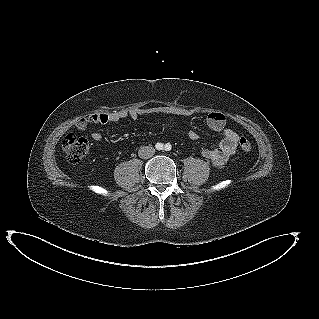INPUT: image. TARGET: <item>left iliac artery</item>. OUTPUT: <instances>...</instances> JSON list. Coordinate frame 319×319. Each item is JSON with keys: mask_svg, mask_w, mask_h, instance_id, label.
Wrapping results in <instances>:
<instances>
[{"mask_svg": "<svg viewBox=\"0 0 319 319\" xmlns=\"http://www.w3.org/2000/svg\"><path fill=\"white\" fill-rule=\"evenodd\" d=\"M171 145L169 144V143H167L166 145H165V150L166 151H170L171 150Z\"/></svg>", "mask_w": 319, "mask_h": 319, "instance_id": "obj_1", "label": "left iliac artery"}]
</instances>
